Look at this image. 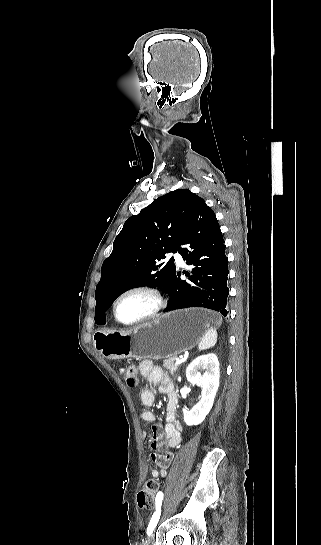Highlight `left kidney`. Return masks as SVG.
Here are the masks:
<instances>
[{
	"label": "left kidney",
	"instance_id": "1",
	"mask_svg": "<svg viewBox=\"0 0 321 545\" xmlns=\"http://www.w3.org/2000/svg\"><path fill=\"white\" fill-rule=\"evenodd\" d=\"M203 369H206V373L201 375L200 371ZM186 377L189 383L202 389L201 401L194 405L191 411H187L186 407L182 409L184 421L186 425L191 427V425L203 423L213 407L220 379L219 361L216 355L209 353V355H201V357L194 359L186 369Z\"/></svg>",
	"mask_w": 321,
	"mask_h": 545
}]
</instances>
